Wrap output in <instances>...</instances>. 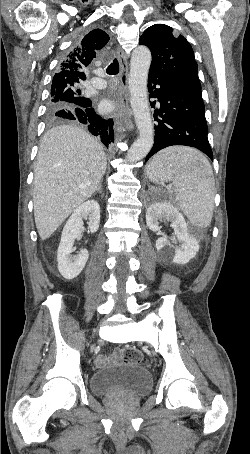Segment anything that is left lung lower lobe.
Wrapping results in <instances>:
<instances>
[{
  "mask_svg": "<svg viewBox=\"0 0 250 454\" xmlns=\"http://www.w3.org/2000/svg\"><path fill=\"white\" fill-rule=\"evenodd\" d=\"M149 98H157L160 108L155 110V143L147 161L159 150L172 145L195 147L211 160L208 127L201 86L174 83L149 74ZM156 101L151 102L155 107Z\"/></svg>",
  "mask_w": 250,
  "mask_h": 454,
  "instance_id": "0a47b994",
  "label": "left lung lower lobe"
}]
</instances>
